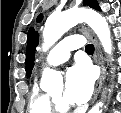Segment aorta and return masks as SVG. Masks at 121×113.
I'll list each match as a JSON object with an SVG mask.
<instances>
[{
  "label": "aorta",
  "mask_w": 121,
  "mask_h": 113,
  "mask_svg": "<svg viewBox=\"0 0 121 113\" xmlns=\"http://www.w3.org/2000/svg\"><path fill=\"white\" fill-rule=\"evenodd\" d=\"M80 22L87 23L93 29L104 51L111 54V34L106 19L98 12L84 8L70 9L62 13L51 14L46 20L43 31V49L47 50L57 42L65 32ZM59 80H61V76L58 72L45 68L42 74L41 86L43 89L48 90ZM102 105V102L97 103L91 108L89 113H101L100 107H102Z\"/></svg>",
  "instance_id": "aorta-1"
}]
</instances>
